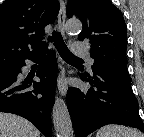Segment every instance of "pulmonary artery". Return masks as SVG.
Segmentation results:
<instances>
[{"label":"pulmonary artery","mask_w":144,"mask_h":137,"mask_svg":"<svg viewBox=\"0 0 144 137\" xmlns=\"http://www.w3.org/2000/svg\"><path fill=\"white\" fill-rule=\"evenodd\" d=\"M72 48L75 55L87 57L90 63L94 62V60L89 56L88 50L82 42H74L72 44Z\"/></svg>","instance_id":"1"}]
</instances>
